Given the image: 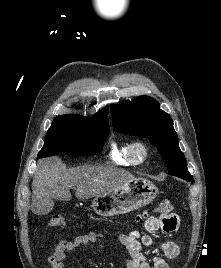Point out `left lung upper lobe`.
I'll list each match as a JSON object with an SVG mask.
<instances>
[{"mask_svg":"<svg viewBox=\"0 0 221 268\" xmlns=\"http://www.w3.org/2000/svg\"><path fill=\"white\" fill-rule=\"evenodd\" d=\"M111 113L116 132L149 139L167 162L169 174L187 181L192 178L179 148L173 121L169 114L159 109L155 99L140 96L121 106L113 104Z\"/></svg>","mask_w":221,"mask_h":268,"instance_id":"left-lung-upper-lobe-1","label":"left lung upper lobe"}]
</instances>
